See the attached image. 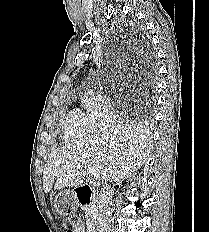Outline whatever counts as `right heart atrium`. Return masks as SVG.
I'll return each mask as SVG.
<instances>
[{"mask_svg": "<svg viewBox=\"0 0 209 232\" xmlns=\"http://www.w3.org/2000/svg\"><path fill=\"white\" fill-rule=\"evenodd\" d=\"M86 109L92 132L103 131L115 122V110L109 99L105 96H89L86 102Z\"/></svg>", "mask_w": 209, "mask_h": 232, "instance_id": "right-heart-atrium-1", "label": "right heart atrium"}]
</instances>
